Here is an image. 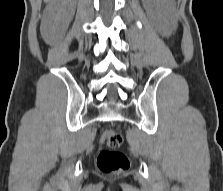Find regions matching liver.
Wrapping results in <instances>:
<instances>
[{"label": "liver", "instance_id": "1", "mask_svg": "<svg viewBox=\"0 0 223 191\" xmlns=\"http://www.w3.org/2000/svg\"><path fill=\"white\" fill-rule=\"evenodd\" d=\"M50 1H51V0H44L45 3H48V2H50Z\"/></svg>", "mask_w": 223, "mask_h": 191}]
</instances>
